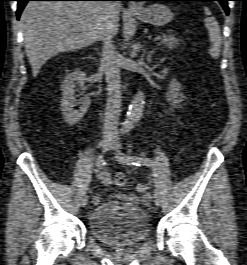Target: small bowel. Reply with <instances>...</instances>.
Listing matches in <instances>:
<instances>
[{
  "mask_svg": "<svg viewBox=\"0 0 247 265\" xmlns=\"http://www.w3.org/2000/svg\"><path fill=\"white\" fill-rule=\"evenodd\" d=\"M98 179L104 186H108L112 182L110 173L106 170H101L98 173ZM116 198L125 200L132 204H143L147 205L151 202V195L148 193V185L140 183L135 186V193L132 194H116Z\"/></svg>",
  "mask_w": 247,
  "mask_h": 265,
  "instance_id": "obj_1",
  "label": "small bowel"
}]
</instances>
